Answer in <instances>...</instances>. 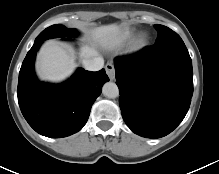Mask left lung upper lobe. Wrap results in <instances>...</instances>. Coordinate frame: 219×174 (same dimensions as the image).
<instances>
[{
	"mask_svg": "<svg viewBox=\"0 0 219 174\" xmlns=\"http://www.w3.org/2000/svg\"><path fill=\"white\" fill-rule=\"evenodd\" d=\"M155 28L158 32V37L155 41V44H163L168 42H183L180 36L176 34L174 31H172L170 28L163 25H155Z\"/></svg>",
	"mask_w": 219,
	"mask_h": 174,
	"instance_id": "obj_1",
	"label": "left lung upper lobe"
}]
</instances>
